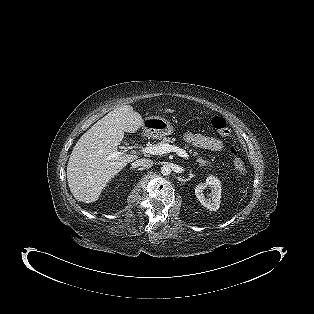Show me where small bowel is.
I'll use <instances>...</instances> for the list:
<instances>
[{
  "label": "small bowel",
  "instance_id": "obj_1",
  "mask_svg": "<svg viewBox=\"0 0 314 314\" xmlns=\"http://www.w3.org/2000/svg\"><path fill=\"white\" fill-rule=\"evenodd\" d=\"M183 138L186 142L196 147L210 151H219L223 147V143L219 139L198 133H193L191 131H186L183 134Z\"/></svg>",
  "mask_w": 314,
  "mask_h": 314
}]
</instances>
